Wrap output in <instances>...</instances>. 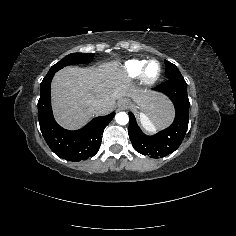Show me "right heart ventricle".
Listing matches in <instances>:
<instances>
[{"mask_svg":"<svg viewBox=\"0 0 236 236\" xmlns=\"http://www.w3.org/2000/svg\"><path fill=\"white\" fill-rule=\"evenodd\" d=\"M146 62L147 60L144 59H132L127 61L121 69V76L129 80L137 79L140 77L141 71Z\"/></svg>","mask_w":236,"mask_h":236,"instance_id":"1","label":"right heart ventricle"}]
</instances>
